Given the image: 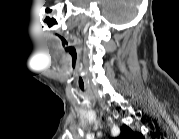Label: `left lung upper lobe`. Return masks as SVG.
Returning <instances> with one entry per match:
<instances>
[{
	"mask_svg": "<svg viewBox=\"0 0 179 139\" xmlns=\"http://www.w3.org/2000/svg\"><path fill=\"white\" fill-rule=\"evenodd\" d=\"M119 138H124V139H140L142 138V135L139 133H134L130 128L127 126H123L121 129V134Z\"/></svg>",
	"mask_w": 179,
	"mask_h": 139,
	"instance_id": "1",
	"label": "left lung upper lobe"
}]
</instances>
